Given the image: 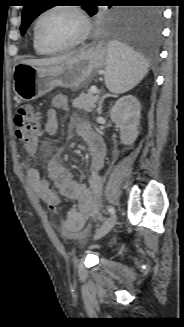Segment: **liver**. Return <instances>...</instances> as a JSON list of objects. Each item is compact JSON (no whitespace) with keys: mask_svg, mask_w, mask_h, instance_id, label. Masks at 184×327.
I'll list each match as a JSON object with an SVG mask.
<instances>
[{"mask_svg":"<svg viewBox=\"0 0 184 327\" xmlns=\"http://www.w3.org/2000/svg\"><path fill=\"white\" fill-rule=\"evenodd\" d=\"M76 53H70L66 55H62L59 57H52V58H46V59H32V60H24L22 63L32 65V66H50V65H56L59 64L72 56H74Z\"/></svg>","mask_w":184,"mask_h":327,"instance_id":"obj_1","label":"liver"}]
</instances>
